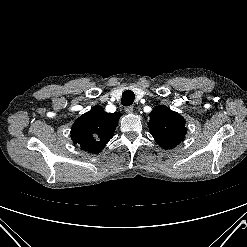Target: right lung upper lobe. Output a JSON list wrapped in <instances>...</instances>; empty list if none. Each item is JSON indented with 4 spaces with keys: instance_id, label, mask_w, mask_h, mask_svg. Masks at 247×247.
<instances>
[{
    "instance_id": "right-lung-upper-lobe-1",
    "label": "right lung upper lobe",
    "mask_w": 247,
    "mask_h": 247,
    "mask_svg": "<svg viewBox=\"0 0 247 247\" xmlns=\"http://www.w3.org/2000/svg\"><path fill=\"white\" fill-rule=\"evenodd\" d=\"M120 116L121 113H107L95 106L74 122L71 138L81 149L97 154L113 137Z\"/></svg>"
}]
</instances>
